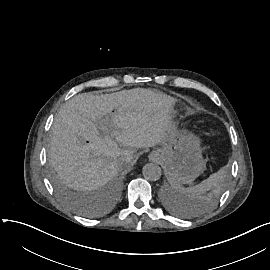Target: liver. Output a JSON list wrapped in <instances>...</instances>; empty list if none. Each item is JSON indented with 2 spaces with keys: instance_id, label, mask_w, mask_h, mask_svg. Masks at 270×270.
<instances>
[{
  "instance_id": "6515ba94",
  "label": "liver",
  "mask_w": 270,
  "mask_h": 270,
  "mask_svg": "<svg viewBox=\"0 0 270 270\" xmlns=\"http://www.w3.org/2000/svg\"><path fill=\"white\" fill-rule=\"evenodd\" d=\"M174 104L173 97L145 88L75 95L51 127L49 163L69 187L98 190L133 161L135 149L161 144L176 131L165 115ZM104 116L107 124L100 122ZM100 125L113 127L111 134L99 136Z\"/></svg>"
}]
</instances>
